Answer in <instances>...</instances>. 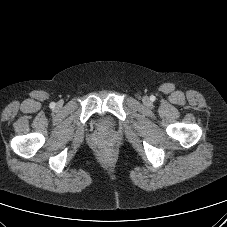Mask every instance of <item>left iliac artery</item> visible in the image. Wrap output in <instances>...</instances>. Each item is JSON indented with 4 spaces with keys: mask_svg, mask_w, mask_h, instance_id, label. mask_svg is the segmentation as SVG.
<instances>
[{
    "mask_svg": "<svg viewBox=\"0 0 227 227\" xmlns=\"http://www.w3.org/2000/svg\"><path fill=\"white\" fill-rule=\"evenodd\" d=\"M150 100H151V101H154V100H155V96H151V97H150Z\"/></svg>",
    "mask_w": 227,
    "mask_h": 227,
    "instance_id": "1",
    "label": "left iliac artery"
}]
</instances>
